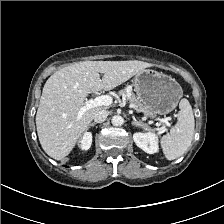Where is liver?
I'll return each mask as SVG.
<instances>
[{"instance_id":"6515ba94","label":"liver","mask_w":224,"mask_h":224,"mask_svg":"<svg viewBox=\"0 0 224 224\" xmlns=\"http://www.w3.org/2000/svg\"><path fill=\"white\" fill-rule=\"evenodd\" d=\"M152 64L138 61H83L56 71L45 83L36 114L37 134L43 150L62 160L87 131L98 110H87L77 120L88 94L112 90ZM103 74L102 79L100 74Z\"/></svg>"}]
</instances>
